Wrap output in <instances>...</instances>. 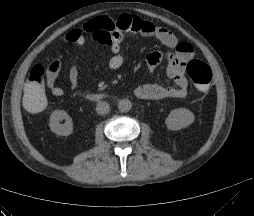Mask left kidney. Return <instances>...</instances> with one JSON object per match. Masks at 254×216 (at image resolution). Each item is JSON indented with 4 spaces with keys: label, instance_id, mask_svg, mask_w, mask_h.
I'll use <instances>...</instances> for the list:
<instances>
[{
    "label": "left kidney",
    "instance_id": "1",
    "mask_svg": "<svg viewBox=\"0 0 254 216\" xmlns=\"http://www.w3.org/2000/svg\"><path fill=\"white\" fill-rule=\"evenodd\" d=\"M195 120L194 114L187 108L173 109L165 120L169 130L175 131L186 128Z\"/></svg>",
    "mask_w": 254,
    "mask_h": 216
}]
</instances>
